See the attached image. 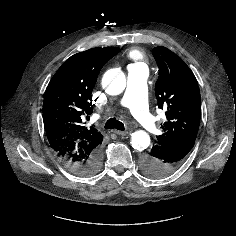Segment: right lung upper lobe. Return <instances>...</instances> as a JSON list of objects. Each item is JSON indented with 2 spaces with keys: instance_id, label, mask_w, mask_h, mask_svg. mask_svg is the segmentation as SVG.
<instances>
[{
  "instance_id": "right-lung-upper-lobe-1",
  "label": "right lung upper lobe",
  "mask_w": 236,
  "mask_h": 236,
  "mask_svg": "<svg viewBox=\"0 0 236 236\" xmlns=\"http://www.w3.org/2000/svg\"><path fill=\"white\" fill-rule=\"evenodd\" d=\"M117 47L93 48L68 58L50 80L43 100V122L51 148L65 162L86 160L102 134L85 118L93 112L91 93L104 64ZM64 164V163H63Z\"/></svg>"
}]
</instances>
